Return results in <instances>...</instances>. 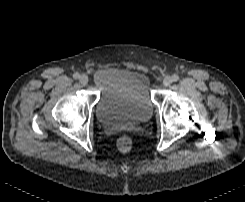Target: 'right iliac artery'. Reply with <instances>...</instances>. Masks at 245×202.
<instances>
[{
	"label": "right iliac artery",
	"mask_w": 245,
	"mask_h": 202,
	"mask_svg": "<svg viewBox=\"0 0 245 202\" xmlns=\"http://www.w3.org/2000/svg\"><path fill=\"white\" fill-rule=\"evenodd\" d=\"M79 77H80V74L79 73L76 72V73L73 74V78L74 79H79Z\"/></svg>",
	"instance_id": "82829eb1"
}]
</instances>
